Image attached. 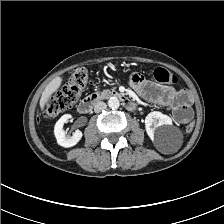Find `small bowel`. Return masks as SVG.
<instances>
[{"instance_id":"c3829d8e","label":"small bowel","mask_w":224,"mask_h":224,"mask_svg":"<svg viewBox=\"0 0 224 224\" xmlns=\"http://www.w3.org/2000/svg\"><path fill=\"white\" fill-rule=\"evenodd\" d=\"M131 86L145 100L172 107L178 123L183 124L189 120L190 106L193 102V96L189 91L156 84L136 73L131 75Z\"/></svg>"}]
</instances>
